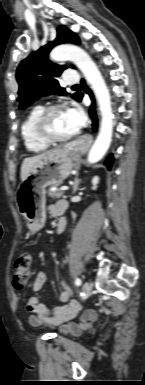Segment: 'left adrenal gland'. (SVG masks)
<instances>
[{"instance_id":"1","label":"left adrenal gland","mask_w":145,"mask_h":385,"mask_svg":"<svg viewBox=\"0 0 145 385\" xmlns=\"http://www.w3.org/2000/svg\"><path fill=\"white\" fill-rule=\"evenodd\" d=\"M80 182H81V180L78 178V174H77V175L75 176V179H74V182H73V185H72V187H73V192H72V194H75V193H76V191L78 190V186H79Z\"/></svg>"}]
</instances>
